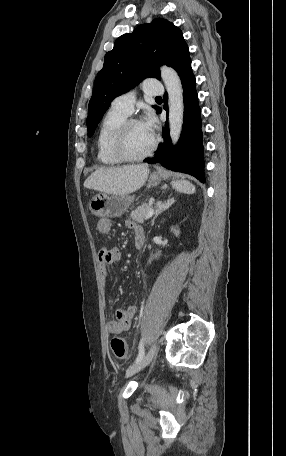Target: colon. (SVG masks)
<instances>
[{"label": "colon", "mask_w": 286, "mask_h": 456, "mask_svg": "<svg viewBox=\"0 0 286 456\" xmlns=\"http://www.w3.org/2000/svg\"><path fill=\"white\" fill-rule=\"evenodd\" d=\"M111 348L115 357L118 359L126 358L128 354V347L126 341L123 338H113L111 340Z\"/></svg>", "instance_id": "1"}]
</instances>
